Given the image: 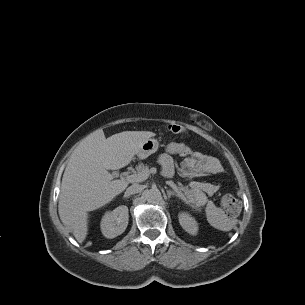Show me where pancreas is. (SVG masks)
<instances>
[{"label":"pancreas","mask_w":305,"mask_h":305,"mask_svg":"<svg viewBox=\"0 0 305 305\" xmlns=\"http://www.w3.org/2000/svg\"><path fill=\"white\" fill-rule=\"evenodd\" d=\"M148 168V165L140 163L138 166H136V171H134V174H138ZM168 184L173 187L178 192L180 197H182L183 200L187 203H191L197 207H201L208 202L206 194L202 191V189L204 188V184L193 182L191 188H189L188 186H183L179 182L176 185L173 181H169Z\"/></svg>","instance_id":"1"}]
</instances>
